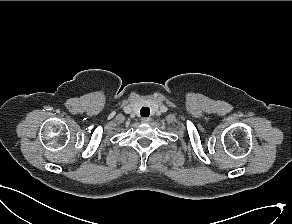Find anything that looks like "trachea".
Wrapping results in <instances>:
<instances>
[{"label":"trachea","mask_w":292,"mask_h":224,"mask_svg":"<svg viewBox=\"0 0 292 224\" xmlns=\"http://www.w3.org/2000/svg\"><path fill=\"white\" fill-rule=\"evenodd\" d=\"M140 114L142 117H148L150 115V109L148 107H142Z\"/></svg>","instance_id":"trachea-1"}]
</instances>
